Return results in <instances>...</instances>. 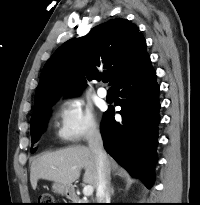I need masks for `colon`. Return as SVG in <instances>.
<instances>
[{
	"mask_svg": "<svg viewBox=\"0 0 200 205\" xmlns=\"http://www.w3.org/2000/svg\"><path fill=\"white\" fill-rule=\"evenodd\" d=\"M54 198L51 194L45 193L40 195L38 205H54Z\"/></svg>",
	"mask_w": 200,
	"mask_h": 205,
	"instance_id": "5ec220e1",
	"label": "colon"
}]
</instances>
